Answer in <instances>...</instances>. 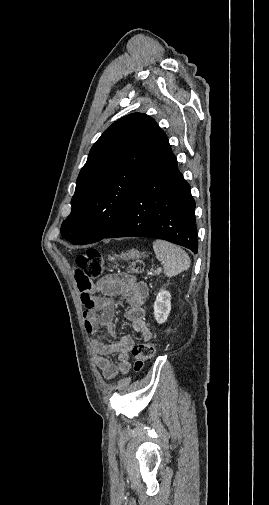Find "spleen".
<instances>
[{
	"mask_svg": "<svg viewBox=\"0 0 269 505\" xmlns=\"http://www.w3.org/2000/svg\"><path fill=\"white\" fill-rule=\"evenodd\" d=\"M156 258L164 264V274L173 277L190 267L188 254L179 246L156 239L153 241Z\"/></svg>",
	"mask_w": 269,
	"mask_h": 505,
	"instance_id": "1",
	"label": "spleen"
}]
</instances>
